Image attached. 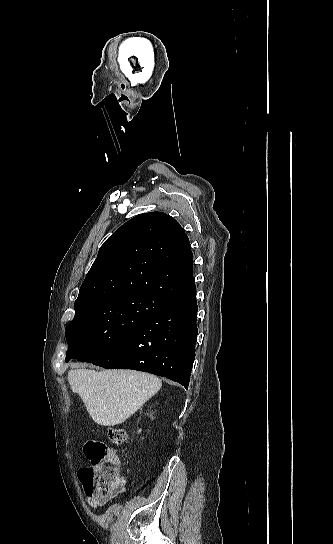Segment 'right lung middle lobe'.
<instances>
[{"label":"right lung middle lobe","mask_w":333,"mask_h":544,"mask_svg":"<svg viewBox=\"0 0 333 544\" xmlns=\"http://www.w3.org/2000/svg\"><path fill=\"white\" fill-rule=\"evenodd\" d=\"M167 301L148 294H122L75 302L67 325L66 362L78 361L136 331Z\"/></svg>","instance_id":"1"}]
</instances>
